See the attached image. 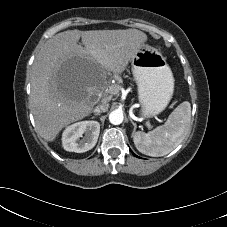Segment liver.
Returning a JSON list of instances; mask_svg holds the SVG:
<instances>
[{"label":"liver","mask_w":227,"mask_h":227,"mask_svg":"<svg viewBox=\"0 0 227 227\" xmlns=\"http://www.w3.org/2000/svg\"><path fill=\"white\" fill-rule=\"evenodd\" d=\"M80 38L84 47L78 44ZM146 41L147 35L137 29H75L50 38L31 70L30 105L37 133L52 142L64 127L88 116L93 109L91 96L104 97L111 92L95 78V65L117 76ZM68 61L82 64L89 75L86 89L75 96L61 93L54 82L57 68Z\"/></svg>","instance_id":"1"}]
</instances>
